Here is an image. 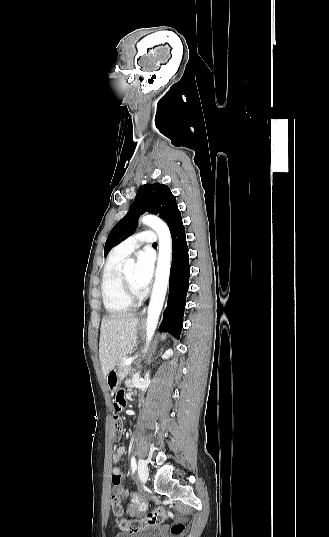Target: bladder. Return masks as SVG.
Listing matches in <instances>:
<instances>
[{
  "label": "bladder",
  "mask_w": 329,
  "mask_h": 537,
  "mask_svg": "<svg viewBox=\"0 0 329 537\" xmlns=\"http://www.w3.org/2000/svg\"><path fill=\"white\" fill-rule=\"evenodd\" d=\"M155 531L156 529L154 528L152 530L138 531L134 533L119 532L114 537H151Z\"/></svg>",
  "instance_id": "1"
}]
</instances>
